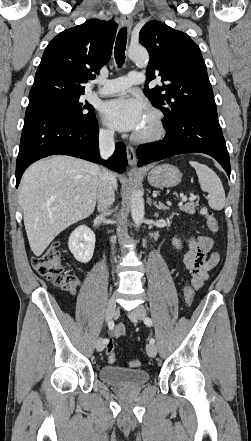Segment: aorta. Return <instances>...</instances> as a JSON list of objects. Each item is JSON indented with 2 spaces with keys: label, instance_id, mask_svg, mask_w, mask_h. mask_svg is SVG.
Masks as SVG:
<instances>
[{
  "label": "aorta",
  "instance_id": "1",
  "mask_svg": "<svg viewBox=\"0 0 251 441\" xmlns=\"http://www.w3.org/2000/svg\"><path fill=\"white\" fill-rule=\"evenodd\" d=\"M129 58L139 66H146L149 62V54L143 47H130ZM131 216L136 228H139L144 220V199L143 195L134 191L130 198Z\"/></svg>",
  "mask_w": 251,
  "mask_h": 441
}]
</instances>
